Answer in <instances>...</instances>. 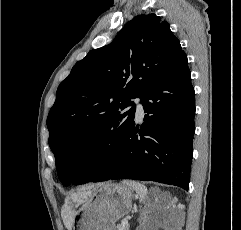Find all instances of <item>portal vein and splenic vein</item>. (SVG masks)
Returning a JSON list of instances; mask_svg holds the SVG:
<instances>
[{"label":"portal vein and splenic vein","instance_id":"18ae733b","mask_svg":"<svg viewBox=\"0 0 241 230\" xmlns=\"http://www.w3.org/2000/svg\"><path fill=\"white\" fill-rule=\"evenodd\" d=\"M122 225H123V226L128 225V220H127V219H123V220H122Z\"/></svg>","mask_w":241,"mask_h":230}]
</instances>
